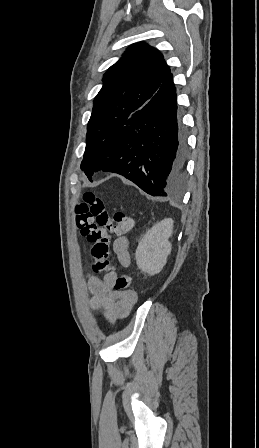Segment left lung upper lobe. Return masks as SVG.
Returning <instances> with one entry per match:
<instances>
[{
	"label": "left lung upper lobe",
	"mask_w": 259,
	"mask_h": 448,
	"mask_svg": "<svg viewBox=\"0 0 259 448\" xmlns=\"http://www.w3.org/2000/svg\"><path fill=\"white\" fill-rule=\"evenodd\" d=\"M170 73L156 48L145 42L128 47L104 74L103 86L94 99L81 170L90 172V163L122 129L129 115L149 102Z\"/></svg>",
	"instance_id": "5c2ea615"
}]
</instances>
